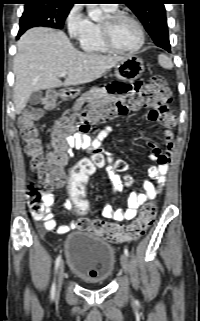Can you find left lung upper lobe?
Listing matches in <instances>:
<instances>
[{
	"label": "left lung upper lobe",
	"instance_id": "1",
	"mask_svg": "<svg viewBox=\"0 0 200 321\" xmlns=\"http://www.w3.org/2000/svg\"><path fill=\"white\" fill-rule=\"evenodd\" d=\"M140 19L144 28L163 49L170 46L164 4L166 0H122Z\"/></svg>",
	"mask_w": 200,
	"mask_h": 321
}]
</instances>
